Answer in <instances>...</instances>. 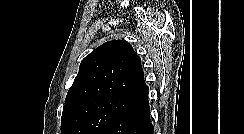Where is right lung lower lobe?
I'll return each mask as SVG.
<instances>
[{
    "mask_svg": "<svg viewBox=\"0 0 244 134\" xmlns=\"http://www.w3.org/2000/svg\"><path fill=\"white\" fill-rule=\"evenodd\" d=\"M102 134H154L148 93L134 99Z\"/></svg>",
    "mask_w": 244,
    "mask_h": 134,
    "instance_id": "right-lung-lower-lobe-1",
    "label": "right lung lower lobe"
}]
</instances>
